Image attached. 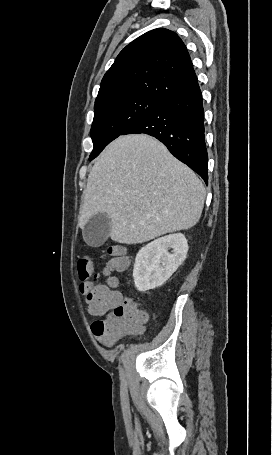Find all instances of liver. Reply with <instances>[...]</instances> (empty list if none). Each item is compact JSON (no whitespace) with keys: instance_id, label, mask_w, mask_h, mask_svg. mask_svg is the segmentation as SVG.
<instances>
[{"instance_id":"obj_1","label":"liver","mask_w":272,"mask_h":455,"mask_svg":"<svg viewBox=\"0 0 272 455\" xmlns=\"http://www.w3.org/2000/svg\"><path fill=\"white\" fill-rule=\"evenodd\" d=\"M205 197L202 181L161 142L145 134L120 136L88 175L79 226L106 213L113 241L143 243L196 225Z\"/></svg>"}]
</instances>
